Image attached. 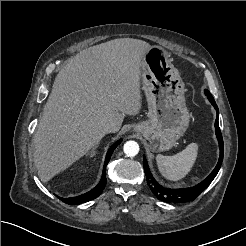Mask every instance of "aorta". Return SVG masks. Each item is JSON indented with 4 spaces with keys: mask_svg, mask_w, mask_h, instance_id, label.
Returning <instances> with one entry per match:
<instances>
[{
    "mask_svg": "<svg viewBox=\"0 0 246 246\" xmlns=\"http://www.w3.org/2000/svg\"><path fill=\"white\" fill-rule=\"evenodd\" d=\"M123 150L128 157H134L139 152V145L137 142L130 140L124 144Z\"/></svg>",
    "mask_w": 246,
    "mask_h": 246,
    "instance_id": "obj_1",
    "label": "aorta"
}]
</instances>
